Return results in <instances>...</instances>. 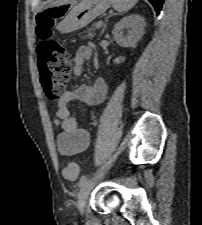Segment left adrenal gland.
I'll return each mask as SVG.
<instances>
[{
    "label": "left adrenal gland",
    "mask_w": 202,
    "mask_h": 225,
    "mask_svg": "<svg viewBox=\"0 0 202 225\" xmlns=\"http://www.w3.org/2000/svg\"><path fill=\"white\" fill-rule=\"evenodd\" d=\"M108 18H109V17H108ZM108 18L106 19V23H107V21H108ZM106 23H105L104 26H103V29H102L101 34L104 33V31H105V29H106Z\"/></svg>",
    "instance_id": "1"
}]
</instances>
